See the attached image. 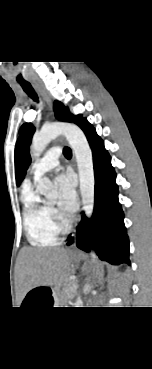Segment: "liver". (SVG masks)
I'll use <instances>...</instances> for the list:
<instances>
[{"label":"liver","instance_id":"1","mask_svg":"<svg viewBox=\"0 0 152 369\" xmlns=\"http://www.w3.org/2000/svg\"><path fill=\"white\" fill-rule=\"evenodd\" d=\"M19 280L25 291L62 281L66 277L68 254L64 249L25 247L19 254Z\"/></svg>","mask_w":152,"mask_h":369}]
</instances>
